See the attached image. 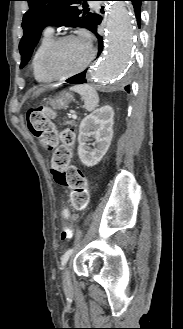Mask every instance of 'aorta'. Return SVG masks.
<instances>
[{"label":"aorta","instance_id":"aorta-1","mask_svg":"<svg viewBox=\"0 0 183 329\" xmlns=\"http://www.w3.org/2000/svg\"><path fill=\"white\" fill-rule=\"evenodd\" d=\"M106 30V51L92 75L98 83L112 86L123 80L134 45V17L127 2L110 5Z\"/></svg>","mask_w":183,"mask_h":329}]
</instances>
